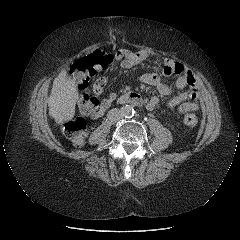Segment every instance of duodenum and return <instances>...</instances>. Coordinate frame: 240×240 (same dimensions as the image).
<instances>
[{
    "mask_svg": "<svg viewBox=\"0 0 240 240\" xmlns=\"http://www.w3.org/2000/svg\"><path fill=\"white\" fill-rule=\"evenodd\" d=\"M118 103L120 104H131L134 106L144 105L143 99L141 96L134 92L126 93L118 98Z\"/></svg>",
    "mask_w": 240,
    "mask_h": 240,
    "instance_id": "1",
    "label": "duodenum"
}]
</instances>
